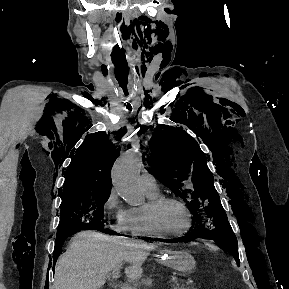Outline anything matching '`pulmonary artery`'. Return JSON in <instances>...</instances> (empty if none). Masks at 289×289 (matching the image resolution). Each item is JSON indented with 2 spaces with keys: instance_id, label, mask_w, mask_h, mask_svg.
Returning <instances> with one entry per match:
<instances>
[{
  "instance_id": "pulmonary-artery-1",
  "label": "pulmonary artery",
  "mask_w": 289,
  "mask_h": 289,
  "mask_svg": "<svg viewBox=\"0 0 289 289\" xmlns=\"http://www.w3.org/2000/svg\"><path fill=\"white\" fill-rule=\"evenodd\" d=\"M140 185L142 189L147 193H157L158 191V184L156 178L148 172H144L140 176Z\"/></svg>"
}]
</instances>
